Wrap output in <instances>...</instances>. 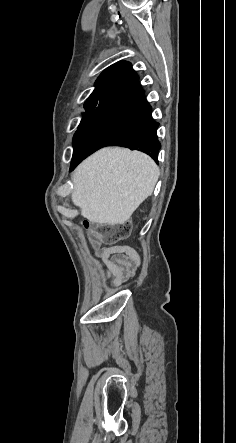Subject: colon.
<instances>
[{"mask_svg": "<svg viewBox=\"0 0 236 443\" xmlns=\"http://www.w3.org/2000/svg\"><path fill=\"white\" fill-rule=\"evenodd\" d=\"M129 232L130 223L125 221L97 227L93 232V238L96 242L114 243L126 238Z\"/></svg>", "mask_w": 236, "mask_h": 443, "instance_id": "5ec220e1", "label": "colon"}]
</instances>
